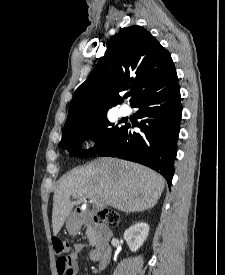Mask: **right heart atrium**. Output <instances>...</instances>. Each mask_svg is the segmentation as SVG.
Returning a JSON list of instances; mask_svg holds the SVG:
<instances>
[{"label":"right heart atrium","instance_id":"d8ad5b80","mask_svg":"<svg viewBox=\"0 0 225 275\" xmlns=\"http://www.w3.org/2000/svg\"><path fill=\"white\" fill-rule=\"evenodd\" d=\"M84 147H85L86 149H89V148L91 147V143H90L89 141H86V142L84 143Z\"/></svg>","mask_w":225,"mask_h":275}]
</instances>
